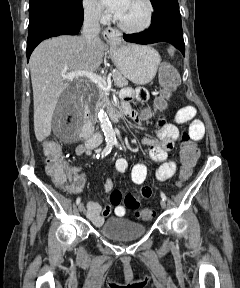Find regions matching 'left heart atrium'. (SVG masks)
<instances>
[{"instance_id": "obj_1", "label": "left heart atrium", "mask_w": 240, "mask_h": 288, "mask_svg": "<svg viewBox=\"0 0 240 288\" xmlns=\"http://www.w3.org/2000/svg\"><path fill=\"white\" fill-rule=\"evenodd\" d=\"M108 10L116 17H119L127 4L128 0H101Z\"/></svg>"}]
</instances>
